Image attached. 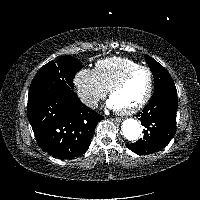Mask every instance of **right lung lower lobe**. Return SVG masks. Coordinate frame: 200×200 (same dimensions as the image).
<instances>
[{"label": "right lung lower lobe", "mask_w": 200, "mask_h": 200, "mask_svg": "<svg viewBox=\"0 0 200 200\" xmlns=\"http://www.w3.org/2000/svg\"><path fill=\"white\" fill-rule=\"evenodd\" d=\"M27 115L40 148L60 159L84 154L104 118L82 104L75 92L28 97Z\"/></svg>", "instance_id": "98d812e1"}]
</instances>
